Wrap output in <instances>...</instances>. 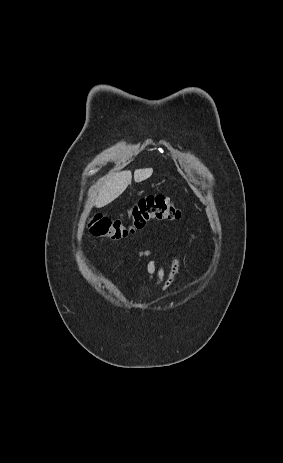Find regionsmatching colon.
<instances>
[{
  "label": "colon",
  "mask_w": 283,
  "mask_h": 463,
  "mask_svg": "<svg viewBox=\"0 0 283 463\" xmlns=\"http://www.w3.org/2000/svg\"><path fill=\"white\" fill-rule=\"evenodd\" d=\"M180 210L162 195H152L140 199L131 209L127 219H111L101 215L91 218L88 228L95 236L119 240L141 230L153 220H176Z\"/></svg>",
  "instance_id": "colon-1"
}]
</instances>
